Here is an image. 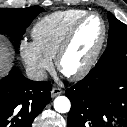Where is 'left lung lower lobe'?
Returning <instances> with one entry per match:
<instances>
[{
	"mask_svg": "<svg viewBox=\"0 0 127 127\" xmlns=\"http://www.w3.org/2000/svg\"><path fill=\"white\" fill-rule=\"evenodd\" d=\"M66 96L68 127H127V44L105 51Z\"/></svg>",
	"mask_w": 127,
	"mask_h": 127,
	"instance_id": "0a47b994",
	"label": "left lung lower lobe"
}]
</instances>
